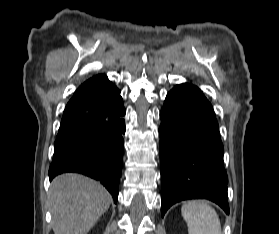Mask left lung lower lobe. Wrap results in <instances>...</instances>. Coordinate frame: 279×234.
Instances as JSON below:
<instances>
[{
  "label": "left lung lower lobe",
  "mask_w": 279,
  "mask_h": 234,
  "mask_svg": "<svg viewBox=\"0 0 279 234\" xmlns=\"http://www.w3.org/2000/svg\"><path fill=\"white\" fill-rule=\"evenodd\" d=\"M161 210L185 199L205 198L229 214L223 145L213 108L191 84L166 96L160 112Z\"/></svg>",
  "instance_id": "0a47b994"
}]
</instances>
